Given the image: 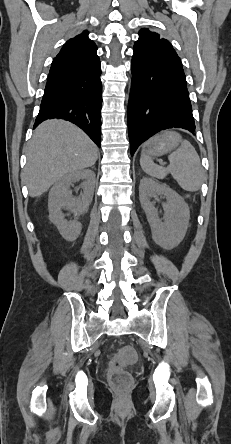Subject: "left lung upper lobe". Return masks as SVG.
<instances>
[{
  "label": "left lung upper lobe",
  "mask_w": 231,
  "mask_h": 444,
  "mask_svg": "<svg viewBox=\"0 0 231 444\" xmlns=\"http://www.w3.org/2000/svg\"><path fill=\"white\" fill-rule=\"evenodd\" d=\"M134 53L145 57L165 59L183 69L181 60L171 43L148 29L140 30L139 39L134 44Z\"/></svg>",
  "instance_id": "1"
}]
</instances>
